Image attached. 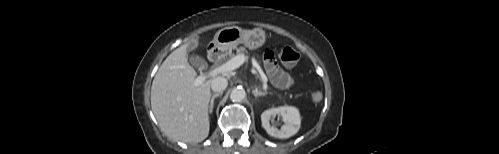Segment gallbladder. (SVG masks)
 <instances>
[{"instance_id": "bac80fb5", "label": "gallbladder", "mask_w": 499, "mask_h": 154, "mask_svg": "<svg viewBox=\"0 0 499 154\" xmlns=\"http://www.w3.org/2000/svg\"><path fill=\"white\" fill-rule=\"evenodd\" d=\"M196 47H197L196 41H190L188 43V50H193ZM189 61L193 67L203 68L206 66V62L204 61V59H202L201 57H199L197 55L190 56Z\"/></svg>"}]
</instances>
